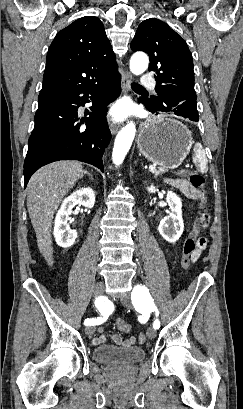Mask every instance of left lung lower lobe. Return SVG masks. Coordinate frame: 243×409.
<instances>
[{"label":"left lung lower lobe","instance_id":"1","mask_svg":"<svg viewBox=\"0 0 243 409\" xmlns=\"http://www.w3.org/2000/svg\"><path fill=\"white\" fill-rule=\"evenodd\" d=\"M140 102H142L146 109L152 113L159 112H168L169 114H174L177 116H181L184 118H188L192 121H198V111L194 104L189 102H183L180 104V101L163 97L157 102H151L147 98H141Z\"/></svg>","mask_w":243,"mask_h":409}]
</instances>
